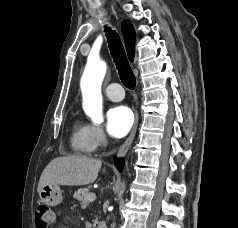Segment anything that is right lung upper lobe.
Returning <instances> with one entry per match:
<instances>
[{"mask_svg": "<svg viewBox=\"0 0 238 228\" xmlns=\"http://www.w3.org/2000/svg\"><path fill=\"white\" fill-rule=\"evenodd\" d=\"M122 33L129 59L132 61L135 54V33L128 20L122 22Z\"/></svg>", "mask_w": 238, "mask_h": 228, "instance_id": "right-lung-upper-lobe-1", "label": "right lung upper lobe"}]
</instances>
